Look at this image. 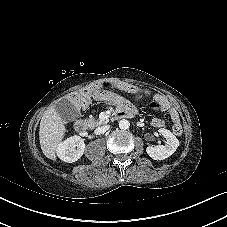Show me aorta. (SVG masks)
Wrapping results in <instances>:
<instances>
[{
    "mask_svg": "<svg viewBox=\"0 0 227 227\" xmlns=\"http://www.w3.org/2000/svg\"><path fill=\"white\" fill-rule=\"evenodd\" d=\"M130 127V123L126 119H122L119 121V128L122 130H126Z\"/></svg>",
    "mask_w": 227,
    "mask_h": 227,
    "instance_id": "obj_1",
    "label": "aorta"
}]
</instances>
